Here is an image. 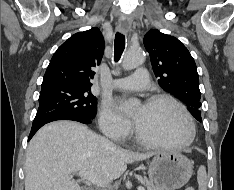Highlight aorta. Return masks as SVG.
Instances as JSON below:
<instances>
[{
  "mask_svg": "<svg viewBox=\"0 0 234 190\" xmlns=\"http://www.w3.org/2000/svg\"><path fill=\"white\" fill-rule=\"evenodd\" d=\"M144 61V52L142 49H129L123 58L122 67L125 70H132L140 66ZM134 103V102H132Z\"/></svg>",
  "mask_w": 234,
  "mask_h": 190,
  "instance_id": "1",
  "label": "aorta"
}]
</instances>
